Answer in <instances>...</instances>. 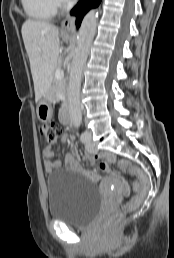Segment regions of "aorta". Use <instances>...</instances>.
<instances>
[{
	"instance_id": "aorta-1",
	"label": "aorta",
	"mask_w": 174,
	"mask_h": 258,
	"mask_svg": "<svg viewBox=\"0 0 174 258\" xmlns=\"http://www.w3.org/2000/svg\"><path fill=\"white\" fill-rule=\"evenodd\" d=\"M97 21L98 12L96 10H91L85 15L77 36V48L70 68L68 107L71 124L77 128L82 122L80 106L82 71L88 57L90 45L96 33Z\"/></svg>"
}]
</instances>
